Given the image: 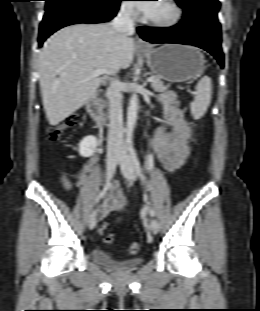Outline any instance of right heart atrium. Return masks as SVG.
Returning <instances> with one entry per match:
<instances>
[{"label":"right heart atrium","instance_id":"obj_1","mask_svg":"<svg viewBox=\"0 0 260 311\" xmlns=\"http://www.w3.org/2000/svg\"><path fill=\"white\" fill-rule=\"evenodd\" d=\"M124 2H128V1H124ZM120 12L128 18H134L136 16L135 8L133 7V5L128 4V3H124L121 6Z\"/></svg>","mask_w":260,"mask_h":311}]
</instances>
